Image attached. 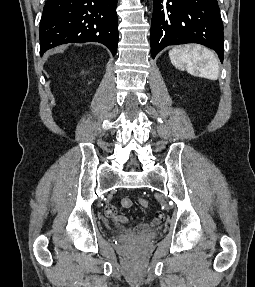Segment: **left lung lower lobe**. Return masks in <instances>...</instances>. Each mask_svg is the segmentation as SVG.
<instances>
[{"label": "left lung lower lobe", "instance_id": "1", "mask_svg": "<svg viewBox=\"0 0 255 287\" xmlns=\"http://www.w3.org/2000/svg\"><path fill=\"white\" fill-rule=\"evenodd\" d=\"M151 55L164 47L199 43L215 50L223 62V23L217 0H154Z\"/></svg>", "mask_w": 255, "mask_h": 287}]
</instances>
